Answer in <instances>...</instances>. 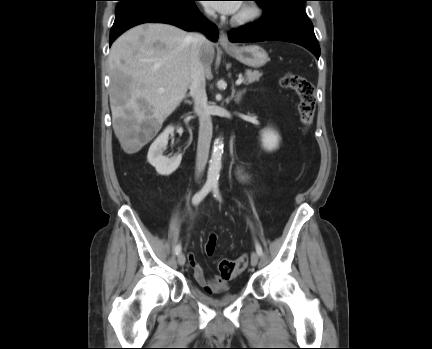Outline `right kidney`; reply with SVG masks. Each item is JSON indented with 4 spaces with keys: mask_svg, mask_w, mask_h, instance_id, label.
Masks as SVG:
<instances>
[{
    "mask_svg": "<svg viewBox=\"0 0 432 349\" xmlns=\"http://www.w3.org/2000/svg\"><path fill=\"white\" fill-rule=\"evenodd\" d=\"M173 131V126L167 127L151 144L147 155L148 162L155 167L158 174L164 176L172 174L179 167L182 160L180 154L172 158L163 156V150L168 144L169 134Z\"/></svg>",
    "mask_w": 432,
    "mask_h": 349,
    "instance_id": "ca27d5eb",
    "label": "right kidney"
}]
</instances>
